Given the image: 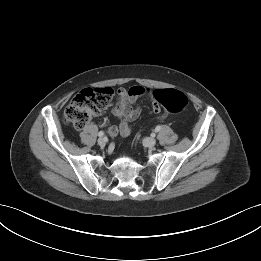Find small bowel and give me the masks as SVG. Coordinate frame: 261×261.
<instances>
[{
	"instance_id": "c3829d8e",
	"label": "small bowel",
	"mask_w": 261,
	"mask_h": 261,
	"mask_svg": "<svg viewBox=\"0 0 261 261\" xmlns=\"http://www.w3.org/2000/svg\"><path fill=\"white\" fill-rule=\"evenodd\" d=\"M142 96H149L152 100L154 111L156 113L159 112L160 108L154 99L153 92L149 89L136 85L128 89L120 87L117 90L118 100L111 112L115 117L121 120L119 134L123 137L131 133L129 122L137 119L140 115L141 110L138 106H134V103Z\"/></svg>"
}]
</instances>
